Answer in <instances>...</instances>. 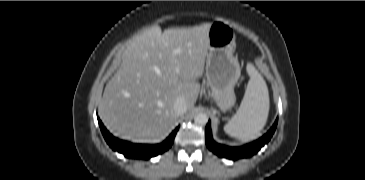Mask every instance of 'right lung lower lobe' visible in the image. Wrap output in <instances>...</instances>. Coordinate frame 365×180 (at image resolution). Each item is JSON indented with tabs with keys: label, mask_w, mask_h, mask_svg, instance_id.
<instances>
[{
	"label": "right lung lower lobe",
	"mask_w": 365,
	"mask_h": 180,
	"mask_svg": "<svg viewBox=\"0 0 365 180\" xmlns=\"http://www.w3.org/2000/svg\"><path fill=\"white\" fill-rule=\"evenodd\" d=\"M98 123L102 134L109 144V146L120 153H122L127 158H137V159H149L154 157L166 150H168L173 144L175 135L179 129L177 127L170 136L162 143L157 145H142V144H134L127 141L120 140L112 134H110L107 129L102 124L101 120L98 118Z\"/></svg>",
	"instance_id": "right-lung-lower-lobe-1"
}]
</instances>
